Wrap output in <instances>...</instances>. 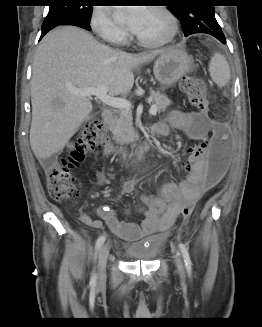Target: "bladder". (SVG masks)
<instances>
[{"instance_id":"1","label":"bladder","mask_w":262,"mask_h":327,"mask_svg":"<svg viewBox=\"0 0 262 327\" xmlns=\"http://www.w3.org/2000/svg\"><path fill=\"white\" fill-rule=\"evenodd\" d=\"M166 239V234H154L126 244L122 248L123 257L128 262H152L157 258Z\"/></svg>"}]
</instances>
